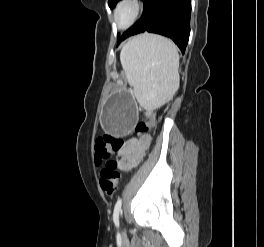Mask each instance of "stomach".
<instances>
[{
  "label": "stomach",
  "mask_w": 264,
  "mask_h": 247,
  "mask_svg": "<svg viewBox=\"0 0 264 247\" xmlns=\"http://www.w3.org/2000/svg\"><path fill=\"white\" fill-rule=\"evenodd\" d=\"M136 107L133 94L116 93L107 100L102 121L112 136H128V131L136 128L139 113Z\"/></svg>",
  "instance_id": "0dacf381"
}]
</instances>
